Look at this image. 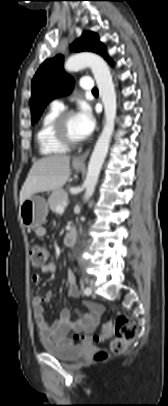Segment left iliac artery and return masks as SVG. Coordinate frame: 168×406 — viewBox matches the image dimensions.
I'll return each mask as SVG.
<instances>
[{"label": "left iliac artery", "instance_id": "44dca946", "mask_svg": "<svg viewBox=\"0 0 168 406\" xmlns=\"http://www.w3.org/2000/svg\"><path fill=\"white\" fill-rule=\"evenodd\" d=\"M91 293H92L91 288L86 287V288L84 289V294H85V295L89 296Z\"/></svg>", "mask_w": 168, "mask_h": 406}]
</instances>
